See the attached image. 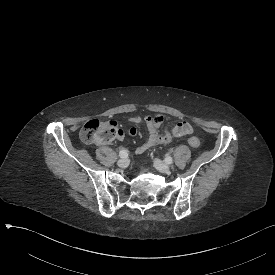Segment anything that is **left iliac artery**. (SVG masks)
<instances>
[{
    "instance_id": "left-iliac-artery-1",
    "label": "left iliac artery",
    "mask_w": 275,
    "mask_h": 275,
    "mask_svg": "<svg viewBox=\"0 0 275 275\" xmlns=\"http://www.w3.org/2000/svg\"><path fill=\"white\" fill-rule=\"evenodd\" d=\"M165 162H166L167 164H172V162H173L172 157H171V156H166V157H165Z\"/></svg>"
}]
</instances>
